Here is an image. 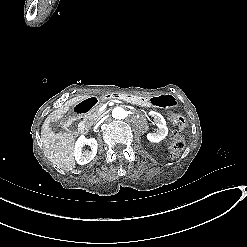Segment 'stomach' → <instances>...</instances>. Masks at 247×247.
Segmentation results:
<instances>
[{
	"mask_svg": "<svg viewBox=\"0 0 247 247\" xmlns=\"http://www.w3.org/2000/svg\"><path fill=\"white\" fill-rule=\"evenodd\" d=\"M141 104L149 107L176 108L178 101L172 94L164 93L141 99Z\"/></svg>",
	"mask_w": 247,
	"mask_h": 247,
	"instance_id": "0dacf381",
	"label": "stomach"
}]
</instances>
